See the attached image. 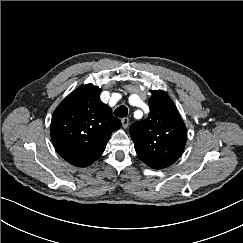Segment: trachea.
Here are the masks:
<instances>
[{"label": "trachea", "instance_id": "trachea-1", "mask_svg": "<svg viewBox=\"0 0 243 243\" xmlns=\"http://www.w3.org/2000/svg\"><path fill=\"white\" fill-rule=\"evenodd\" d=\"M114 115L119 118L126 117L128 115V109L126 106L121 105L115 109Z\"/></svg>", "mask_w": 243, "mask_h": 243}]
</instances>
